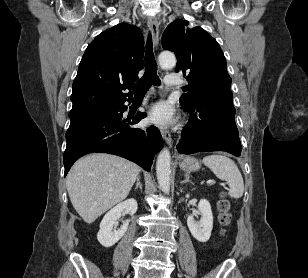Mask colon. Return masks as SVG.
Returning <instances> with one entry per match:
<instances>
[{"label": "colon", "mask_w": 308, "mask_h": 278, "mask_svg": "<svg viewBox=\"0 0 308 278\" xmlns=\"http://www.w3.org/2000/svg\"><path fill=\"white\" fill-rule=\"evenodd\" d=\"M219 222L222 226H228L232 220L231 204L229 200L222 197L218 202Z\"/></svg>", "instance_id": "obj_1"}]
</instances>
